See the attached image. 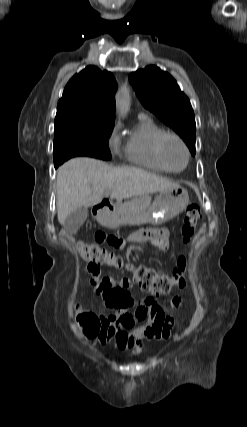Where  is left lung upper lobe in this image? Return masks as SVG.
Returning a JSON list of instances; mask_svg holds the SVG:
<instances>
[{
  "label": "left lung upper lobe",
  "mask_w": 247,
  "mask_h": 427,
  "mask_svg": "<svg viewBox=\"0 0 247 427\" xmlns=\"http://www.w3.org/2000/svg\"><path fill=\"white\" fill-rule=\"evenodd\" d=\"M138 98L166 125L175 130L195 155V116L187 96L175 79L156 66H148L130 74Z\"/></svg>",
  "instance_id": "left-lung-upper-lobe-1"
}]
</instances>
